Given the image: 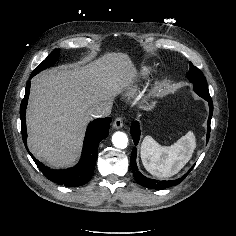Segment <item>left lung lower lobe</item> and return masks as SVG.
I'll use <instances>...</instances> for the list:
<instances>
[{"label":"left lung lower lobe","mask_w":236,"mask_h":236,"mask_svg":"<svg viewBox=\"0 0 236 236\" xmlns=\"http://www.w3.org/2000/svg\"><path fill=\"white\" fill-rule=\"evenodd\" d=\"M208 101L209 103V118H208V127H207V142L209 140V136H210V123H211V118H212V114H213V103H212V99L211 98H207L205 99ZM130 132L133 138V141L135 143V145L138 144L139 138H140V128H139V124L138 122H134L131 125L130 128ZM136 155H137V149L134 147L132 150V154H131V158H130V165L134 174L135 179L137 180V182L144 187L147 188H151V189H165V188H169L171 186H175L177 184H179L180 182L183 181V179L189 174V172L192 170V168L187 172V174H185L182 178L176 179V180H170V181H158V180H154V179H149L147 177H145L144 175H142L137 168L136 165Z\"/></svg>","instance_id":"obj_1"}]
</instances>
